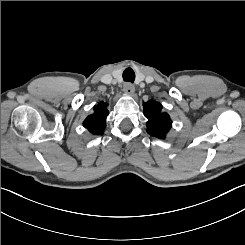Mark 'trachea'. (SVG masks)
I'll return each instance as SVG.
<instances>
[{
    "mask_svg": "<svg viewBox=\"0 0 245 245\" xmlns=\"http://www.w3.org/2000/svg\"><path fill=\"white\" fill-rule=\"evenodd\" d=\"M123 79H124V81H129L130 83H132L134 81L135 73H134V70L130 66L125 68V70L123 72Z\"/></svg>",
    "mask_w": 245,
    "mask_h": 245,
    "instance_id": "3493384b",
    "label": "trachea"
}]
</instances>
